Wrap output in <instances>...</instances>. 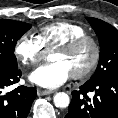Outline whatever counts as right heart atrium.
Segmentation results:
<instances>
[{"label": "right heart atrium", "mask_w": 118, "mask_h": 118, "mask_svg": "<svg viewBox=\"0 0 118 118\" xmlns=\"http://www.w3.org/2000/svg\"><path fill=\"white\" fill-rule=\"evenodd\" d=\"M45 51L37 37L23 34L16 42L14 55L24 66H35L44 57Z\"/></svg>", "instance_id": "d8ad5b80"}]
</instances>
